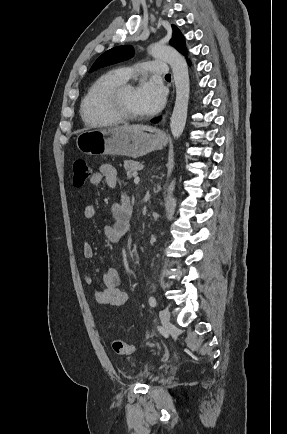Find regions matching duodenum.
<instances>
[{"label":"duodenum","instance_id":"obj_1","mask_svg":"<svg viewBox=\"0 0 287 434\" xmlns=\"http://www.w3.org/2000/svg\"><path fill=\"white\" fill-rule=\"evenodd\" d=\"M128 209H129V212H128V219H129V221H130V219H131V217H132V212H133V209H132V205H131V204L128 205Z\"/></svg>","mask_w":287,"mask_h":434}]
</instances>
